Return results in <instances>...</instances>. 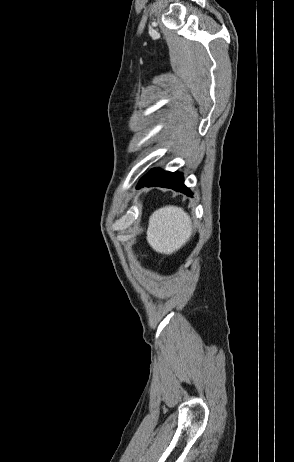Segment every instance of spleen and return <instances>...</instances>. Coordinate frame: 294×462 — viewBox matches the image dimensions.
<instances>
[{
    "instance_id": "3e777b00",
    "label": "spleen",
    "mask_w": 294,
    "mask_h": 462,
    "mask_svg": "<svg viewBox=\"0 0 294 462\" xmlns=\"http://www.w3.org/2000/svg\"><path fill=\"white\" fill-rule=\"evenodd\" d=\"M191 235L190 217L180 207L165 206L156 210L149 218L147 241L159 253L175 252Z\"/></svg>"
}]
</instances>
